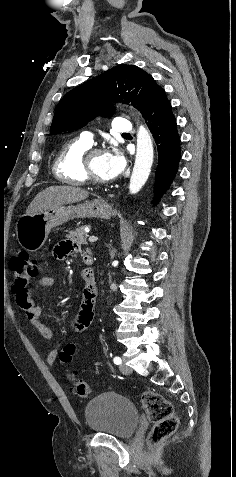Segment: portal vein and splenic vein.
<instances>
[{
  "instance_id": "1",
  "label": "portal vein and splenic vein",
  "mask_w": 236,
  "mask_h": 477,
  "mask_svg": "<svg viewBox=\"0 0 236 477\" xmlns=\"http://www.w3.org/2000/svg\"><path fill=\"white\" fill-rule=\"evenodd\" d=\"M88 240H89V242L93 243V242H96L98 240V237L97 236H90Z\"/></svg>"
}]
</instances>
